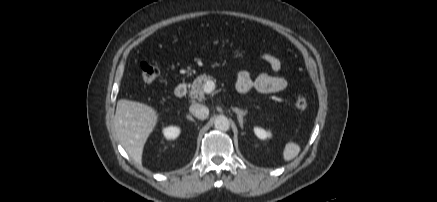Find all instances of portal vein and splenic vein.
Listing matches in <instances>:
<instances>
[{
  "instance_id": "obj_1",
  "label": "portal vein and splenic vein",
  "mask_w": 437,
  "mask_h": 202,
  "mask_svg": "<svg viewBox=\"0 0 437 202\" xmlns=\"http://www.w3.org/2000/svg\"><path fill=\"white\" fill-rule=\"evenodd\" d=\"M215 89V83L212 80H209L204 85V92L205 93H211Z\"/></svg>"
}]
</instances>
